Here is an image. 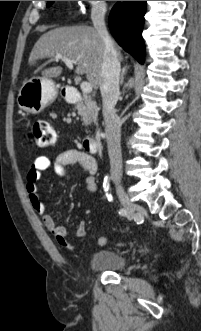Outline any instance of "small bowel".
Instances as JSON below:
<instances>
[{"instance_id":"small-bowel-1","label":"small bowel","mask_w":201,"mask_h":331,"mask_svg":"<svg viewBox=\"0 0 201 331\" xmlns=\"http://www.w3.org/2000/svg\"><path fill=\"white\" fill-rule=\"evenodd\" d=\"M72 166H79L87 173V189L89 192L94 193L97 189L94 178L98 169L97 162L92 156L77 149L66 150L54 158H48L47 156L36 157L31 163L26 174V191L33 209L42 217L44 227L53 234L56 241L61 246L69 251L76 252L83 244V239L86 234L85 222L81 221L75 230V235L79 238L78 244L73 245L69 243L66 239V228L64 226L57 225L53 217L46 212V207L39 198L38 187V181L43 171L52 168L57 176L66 177L68 174L67 170ZM105 242L106 239L104 237L98 238L99 245H103Z\"/></svg>"}]
</instances>
